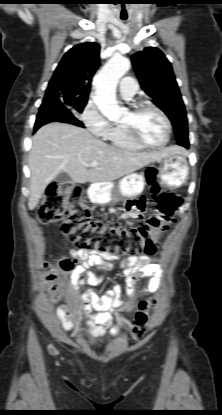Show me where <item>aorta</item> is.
Masks as SVG:
<instances>
[{
	"label": "aorta",
	"instance_id": "1",
	"mask_svg": "<svg viewBox=\"0 0 222 415\" xmlns=\"http://www.w3.org/2000/svg\"><path fill=\"white\" fill-rule=\"evenodd\" d=\"M130 66L129 59L114 55L94 77V102L101 114L110 120L121 117L123 113L116 100V87Z\"/></svg>",
	"mask_w": 222,
	"mask_h": 415
}]
</instances>
